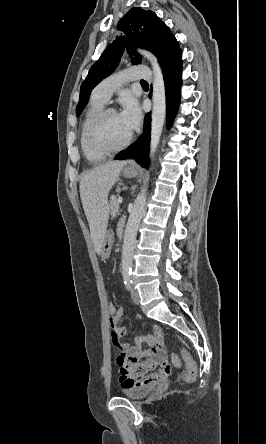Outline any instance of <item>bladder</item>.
<instances>
[{"label":"bladder","instance_id":"bladder-1","mask_svg":"<svg viewBox=\"0 0 266 444\" xmlns=\"http://www.w3.org/2000/svg\"><path fill=\"white\" fill-rule=\"evenodd\" d=\"M154 387V385H143L139 387L124 389L122 393L126 398L132 400H140L145 398L150 392H152Z\"/></svg>","mask_w":266,"mask_h":444}]
</instances>
